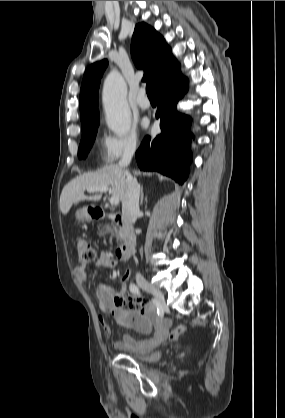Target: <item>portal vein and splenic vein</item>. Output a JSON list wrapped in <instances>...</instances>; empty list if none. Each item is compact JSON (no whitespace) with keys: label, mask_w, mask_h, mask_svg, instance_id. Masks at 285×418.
<instances>
[{"label":"portal vein and splenic vein","mask_w":285,"mask_h":418,"mask_svg":"<svg viewBox=\"0 0 285 418\" xmlns=\"http://www.w3.org/2000/svg\"><path fill=\"white\" fill-rule=\"evenodd\" d=\"M109 190L108 187H95V188H88L87 192H107ZM110 204L111 205H117L119 203V198L117 197H111L110 198Z\"/></svg>","instance_id":"portal-vein-and-splenic-vein-1"}]
</instances>
